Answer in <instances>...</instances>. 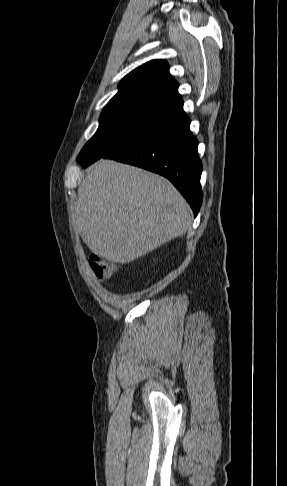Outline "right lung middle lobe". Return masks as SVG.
I'll use <instances>...</instances> for the list:
<instances>
[{
  "label": "right lung middle lobe",
  "mask_w": 287,
  "mask_h": 486,
  "mask_svg": "<svg viewBox=\"0 0 287 486\" xmlns=\"http://www.w3.org/2000/svg\"><path fill=\"white\" fill-rule=\"evenodd\" d=\"M171 113L148 105L105 106L97 132L83 147L77 161L86 167L141 136Z\"/></svg>",
  "instance_id": "right-lung-middle-lobe-1"
}]
</instances>
